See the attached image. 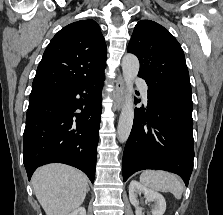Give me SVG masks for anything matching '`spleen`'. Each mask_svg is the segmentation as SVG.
<instances>
[{"label":"spleen","mask_w":223,"mask_h":215,"mask_svg":"<svg viewBox=\"0 0 223 215\" xmlns=\"http://www.w3.org/2000/svg\"><path fill=\"white\" fill-rule=\"evenodd\" d=\"M140 181L146 187L150 189H156V191H171L177 199H181V195L184 189V183L181 179L169 173V171H154V169H145L140 175Z\"/></svg>","instance_id":"1"}]
</instances>
